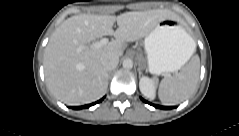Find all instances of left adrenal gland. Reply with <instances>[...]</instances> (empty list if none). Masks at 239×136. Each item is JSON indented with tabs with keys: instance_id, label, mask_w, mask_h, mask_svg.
I'll return each instance as SVG.
<instances>
[{
	"instance_id": "1",
	"label": "left adrenal gland",
	"mask_w": 239,
	"mask_h": 136,
	"mask_svg": "<svg viewBox=\"0 0 239 136\" xmlns=\"http://www.w3.org/2000/svg\"><path fill=\"white\" fill-rule=\"evenodd\" d=\"M138 72H139V78H140V76H141V73H142V68L139 66V68H138Z\"/></svg>"
}]
</instances>
